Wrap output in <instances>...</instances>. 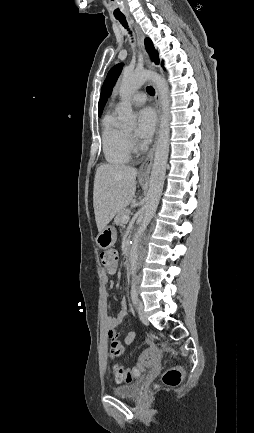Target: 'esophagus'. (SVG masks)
<instances>
[{
    "instance_id": "esophagus-1",
    "label": "esophagus",
    "mask_w": 254,
    "mask_h": 433,
    "mask_svg": "<svg viewBox=\"0 0 254 433\" xmlns=\"http://www.w3.org/2000/svg\"><path fill=\"white\" fill-rule=\"evenodd\" d=\"M134 28H135V32L137 35V40H138V45L142 51L144 60L146 62V66L149 69L154 70V64L150 61L145 47H144V34L142 33L141 29L134 24ZM154 89H155V106H156V110H157V114H158V126H159V122H160V118H161V106H160V95H159V91L156 87V85L154 84ZM157 138H158V128H157V133H156V138L155 141L152 145V147L150 148V150L148 151L144 161L142 162V164L140 165V169H139V176L141 178H148L149 177V173L152 167V163H153V159H154V153H155V149H156V145H157Z\"/></svg>"
}]
</instances>
